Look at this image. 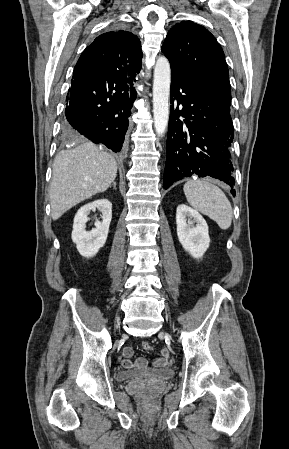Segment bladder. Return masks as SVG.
Wrapping results in <instances>:
<instances>
[{"label": "bladder", "mask_w": 289, "mask_h": 449, "mask_svg": "<svg viewBox=\"0 0 289 449\" xmlns=\"http://www.w3.org/2000/svg\"><path fill=\"white\" fill-rule=\"evenodd\" d=\"M175 375L171 368L162 369H133L120 370L116 373V379L119 382L137 381L143 379L169 380Z\"/></svg>", "instance_id": "1"}]
</instances>
